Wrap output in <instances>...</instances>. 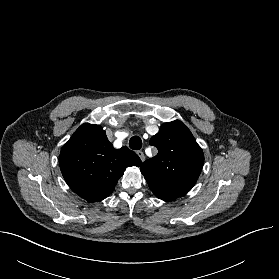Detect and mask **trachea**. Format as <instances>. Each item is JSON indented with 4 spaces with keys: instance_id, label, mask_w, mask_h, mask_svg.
<instances>
[{
    "instance_id": "obj_1",
    "label": "trachea",
    "mask_w": 279,
    "mask_h": 279,
    "mask_svg": "<svg viewBox=\"0 0 279 279\" xmlns=\"http://www.w3.org/2000/svg\"><path fill=\"white\" fill-rule=\"evenodd\" d=\"M129 146L133 150H139L142 147V140L138 136H133L129 141Z\"/></svg>"
}]
</instances>
